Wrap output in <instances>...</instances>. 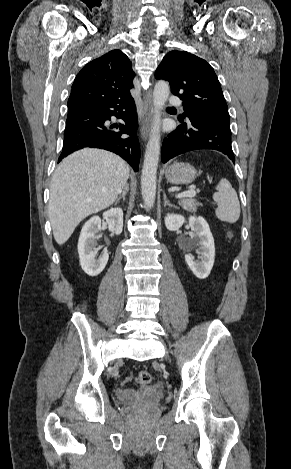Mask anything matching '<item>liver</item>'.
Instances as JSON below:
<instances>
[{
	"mask_svg": "<svg viewBox=\"0 0 291 469\" xmlns=\"http://www.w3.org/2000/svg\"><path fill=\"white\" fill-rule=\"evenodd\" d=\"M119 156L85 148L69 155L56 168L48 205L55 241L63 245L87 216L111 206L129 177Z\"/></svg>",
	"mask_w": 291,
	"mask_h": 469,
	"instance_id": "6515ba94",
	"label": "liver"
}]
</instances>
